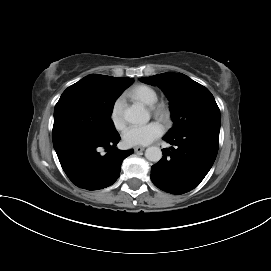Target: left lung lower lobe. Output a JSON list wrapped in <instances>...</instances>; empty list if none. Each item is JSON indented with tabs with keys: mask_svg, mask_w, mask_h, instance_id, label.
Wrapping results in <instances>:
<instances>
[{
	"mask_svg": "<svg viewBox=\"0 0 271 271\" xmlns=\"http://www.w3.org/2000/svg\"><path fill=\"white\" fill-rule=\"evenodd\" d=\"M219 130L199 128L163 139L175 145L151 167V180L161 190L184 194L194 189L211 169L218 152Z\"/></svg>",
	"mask_w": 271,
	"mask_h": 271,
	"instance_id": "obj_1",
	"label": "left lung lower lobe"
}]
</instances>
